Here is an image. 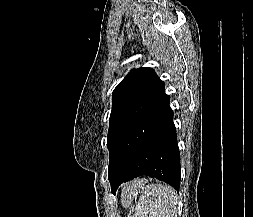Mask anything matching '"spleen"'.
<instances>
[{
    "mask_svg": "<svg viewBox=\"0 0 253 217\" xmlns=\"http://www.w3.org/2000/svg\"><path fill=\"white\" fill-rule=\"evenodd\" d=\"M131 196H124L122 203L128 202ZM176 205V192L171 186L150 184L138 199L133 217H173Z\"/></svg>",
    "mask_w": 253,
    "mask_h": 217,
    "instance_id": "obj_1",
    "label": "spleen"
}]
</instances>
